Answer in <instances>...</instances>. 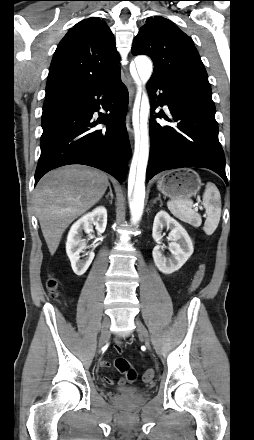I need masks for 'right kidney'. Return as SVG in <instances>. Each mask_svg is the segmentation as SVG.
Here are the masks:
<instances>
[{
  "label": "right kidney",
  "mask_w": 254,
  "mask_h": 440,
  "mask_svg": "<svg viewBox=\"0 0 254 440\" xmlns=\"http://www.w3.org/2000/svg\"><path fill=\"white\" fill-rule=\"evenodd\" d=\"M92 225H95L97 233L102 234L107 225V210L105 207H97L77 220L70 228L66 242V253L70 259L72 269L78 276L83 275L94 259V252L91 251L83 260L80 253L86 248L85 240L82 239V231L92 232Z\"/></svg>",
  "instance_id": "obj_1"
}]
</instances>
